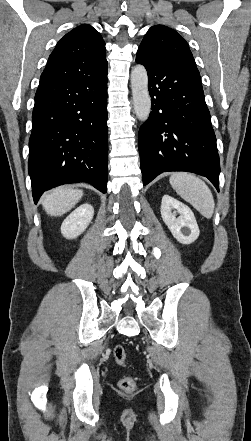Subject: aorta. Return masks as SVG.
Masks as SVG:
<instances>
[{"label":"aorta","instance_id":"aorta-1","mask_svg":"<svg viewBox=\"0 0 251 441\" xmlns=\"http://www.w3.org/2000/svg\"><path fill=\"white\" fill-rule=\"evenodd\" d=\"M131 89L134 111L140 121H146L151 110V99L148 92V76L142 65H136L131 71Z\"/></svg>","mask_w":251,"mask_h":441}]
</instances>
